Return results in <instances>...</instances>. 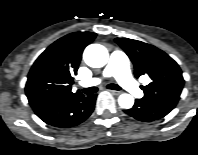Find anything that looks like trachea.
Masks as SVG:
<instances>
[{
	"label": "trachea",
	"instance_id": "1",
	"mask_svg": "<svg viewBox=\"0 0 198 155\" xmlns=\"http://www.w3.org/2000/svg\"><path fill=\"white\" fill-rule=\"evenodd\" d=\"M108 89H112V90H121V87L118 86L117 84H108L107 85ZM85 94H93L96 93L98 91L97 87H89V88H85L82 90Z\"/></svg>",
	"mask_w": 198,
	"mask_h": 155
}]
</instances>
